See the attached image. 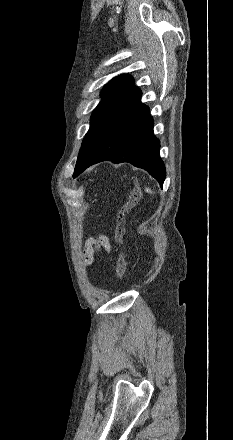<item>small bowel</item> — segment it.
Listing matches in <instances>:
<instances>
[{
    "mask_svg": "<svg viewBox=\"0 0 233 440\" xmlns=\"http://www.w3.org/2000/svg\"><path fill=\"white\" fill-rule=\"evenodd\" d=\"M99 251H103L105 253H109L111 251L110 240L104 234H97L95 237L87 240L83 252L84 263L91 264L95 259L96 253Z\"/></svg>",
    "mask_w": 233,
    "mask_h": 440,
    "instance_id": "obj_1",
    "label": "small bowel"
}]
</instances>
